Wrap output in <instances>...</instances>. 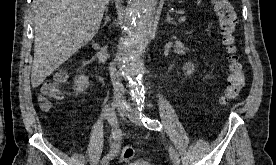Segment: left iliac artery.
<instances>
[{
  "label": "left iliac artery",
  "mask_w": 276,
  "mask_h": 165,
  "mask_svg": "<svg viewBox=\"0 0 276 165\" xmlns=\"http://www.w3.org/2000/svg\"><path fill=\"white\" fill-rule=\"evenodd\" d=\"M143 102L144 101H142V100L137 102L139 111H142V109L144 108ZM140 118H142V123L144 124V126L146 128H148L150 130H156V131L161 130L162 126L158 120L150 119V118L144 117L142 115H140ZM169 152H170L171 159L173 161L180 162L179 155H178L177 151L172 146H169Z\"/></svg>",
  "instance_id": "44dca946"
}]
</instances>
